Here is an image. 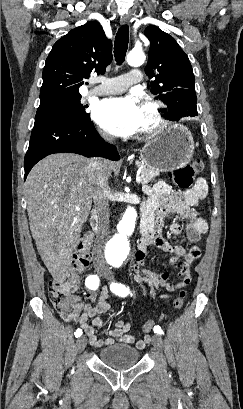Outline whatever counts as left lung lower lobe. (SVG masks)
Returning <instances> with one entry per match:
<instances>
[{
  "mask_svg": "<svg viewBox=\"0 0 243 409\" xmlns=\"http://www.w3.org/2000/svg\"><path fill=\"white\" fill-rule=\"evenodd\" d=\"M197 115H198V113H190V112L178 113L175 117H173L172 121H176V120H178L179 118H182V117H188V116L193 117V116H197Z\"/></svg>",
  "mask_w": 243,
  "mask_h": 409,
  "instance_id": "obj_1",
  "label": "left lung lower lobe"
}]
</instances>
